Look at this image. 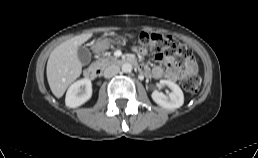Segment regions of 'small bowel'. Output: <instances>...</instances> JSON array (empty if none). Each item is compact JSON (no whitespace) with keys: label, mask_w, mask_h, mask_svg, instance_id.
Instances as JSON below:
<instances>
[{"label":"small bowel","mask_w":258,"mask_h":158,"mask_svg":"<svg viewBox=\"0 0 258 158\" xmlns=\"http://www.w3.org/2000/svg\"><path fill=\"white\" fill-rule=\"evenodd\" d=\"M139 52L143 55L147 54L146 50L140 49ZM157 60L163 65H157L148 70L146 65L141 66L142 73L151 75L155 79H166L171 82H176L186 78L189 74H193L197 71V64L194 58H191L186 62V68L182 69L173 59L165 54H159L156 56Z\"/></svg>","instance_id":"obj_1"}]
</instances>
